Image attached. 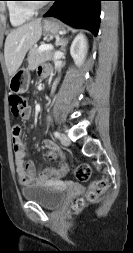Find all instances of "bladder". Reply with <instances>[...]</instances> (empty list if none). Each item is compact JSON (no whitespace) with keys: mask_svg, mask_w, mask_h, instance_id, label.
Returning a JSON list of instances; mask_svg holds the SVG:
<instances>
[{"mask_svg":"<svg viewBox=\"0 0 133 253\" xmlns=\"http://www.w3.org/2000/svg\"><path fill=\"white\" fill-rule=\"evenodd\" d=\"M24 200L35 202L46 209L59 207L64 200V192L46 184H31L21 189Z\"/></svg>","mask_w":133,"mask_h":253,"instance_id":"1","label":"bladder"}]
</instances>
